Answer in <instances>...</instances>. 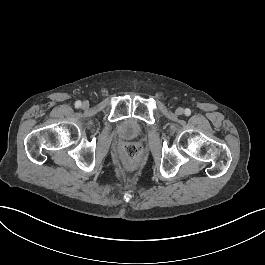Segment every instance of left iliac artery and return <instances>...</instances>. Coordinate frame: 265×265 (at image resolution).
Segmentation results:
<instances>
[{
  "label": "left iliac artery",
  "instance_id": "1",
  "mask_svg": "<svg viewBox=\"0 0 265 265\" xmlns=\"http://www.w3.org/2000/svg\"><path fill=\"white\" fill-rule=\"evenodd\" d=\"M185 114L187 115V116H189L190 114H191V110L190 109H185Z\"/></svg>",
  "mask_w": 265,
  "mask_h": 265
}]
</instances>
